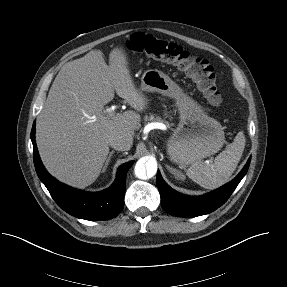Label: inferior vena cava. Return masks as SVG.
<instances>
[{"label":"inferior vena cava","instance_id":"obj_1","mask_svg":"<svg viewBox=\"0 0 287 287\" xmlns=\"http://www.w3.org/2000/svg\"><path fill=\"white\" fill-rule=\"evenodd\" d=\"M109 145L118 151L130 150V145L122 138L113 137L109 140Z\"/></svg>","mask_w":287,"mask_h":287}]
</instances>
